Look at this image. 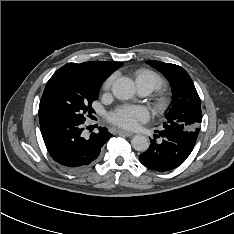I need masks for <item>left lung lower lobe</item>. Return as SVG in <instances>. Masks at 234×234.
Listing matches in <instances>:
<instances>
[{
  "mask_svg": "<svg viewBox=\"0 0 234 234\" xmlns=\"http://www.w3.org/2000/svg\"><path fill=\"white\" fill-rule=\"evenodd\" d=\"M155 139H150V147L139 156L140 162L156 171H168L181 165L192 152L195 144L184 136L167 131H156ZM161 137L162 141L156 139Z\"/></svg>",
  "mask_w": 234,
  "mask_h": 234,
  "instance_id": "0a47b994",
  "label": "left lung lower lobe"
}]
</instances>
